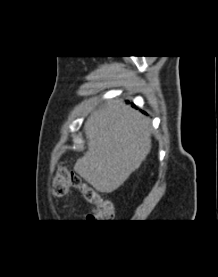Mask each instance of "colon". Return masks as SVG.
Segmentation results:
<instances>
[{
	"label": "colon",
	"mask_w": 218,
	"mask_h": 277,
	"mask_svg": "<svg viewBox=\"0 0 218 277\" xmlns=\"http://www.w3.org/2000/svg\"><path fill=\"white\" fill-rule=\"evenodd\" d=\"M70 187L79 190L84 199L93 205V210L87 216L88 221L102 222L114 217V207L110 199L104 198L74 172L65 167H59L53 179L52 196L55 198L63 197Z\"/></svg>",
	"instance_id": "1"
}]
</instances>
